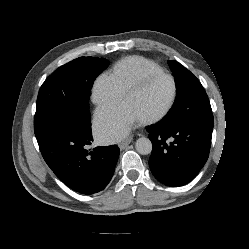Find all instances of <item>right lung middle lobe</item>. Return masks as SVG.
Instances as JSON below:
<instances>
[{"instance_id": "dd1d6c3e", "label": "right lung middle lobe", "mask_w": 249, "mask_h": 249, "mask_svg": "<svg viewBox=\"0 0 249 249\" xmlns=\"http://www.w3.org/2000/svg\"><path fill=\"white\" fill-rule=\"evenodd\" d=\"M108 64L104 58L79 57L53 72L38 93L35 135L57 127L89 124L91 88L95 78Z\"/></svg>"}]
</instances>
